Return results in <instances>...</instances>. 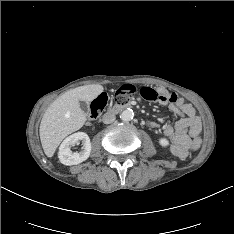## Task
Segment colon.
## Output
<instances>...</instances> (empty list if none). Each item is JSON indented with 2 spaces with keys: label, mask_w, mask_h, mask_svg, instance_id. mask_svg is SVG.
<instances>
[{
  "label": "colon",
  "mask_w": 234,
  "mask_h": 234,
  "mask_svg": "<svg viewBox=\"0 0 234 234\" xmlns=\"http://www.w3.org/2000/svg\"><path fill=\"white\" fill-rule=\"evenodd\" d=\"M136 93H139L145 99L151 100V101H155L159 96L157 91L150 87H142L138 89L134 85L127 84V85H123L116 91L113 97V101L114 103H126ZM107 100L108 99L105 94H101L95 100H93V102L91 103V108H90V120H93L98 117V115L105 108L107 104ZM203 145H204L203 140L201 138H196L195 142L192 143L191 148L194 151H198L200 150L201 147H203Z\"/></svg>",
  "instance_id": "1"
}]
</instances>
